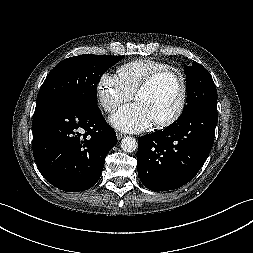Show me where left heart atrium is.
Returning <instances> with one entry per match:
<instances>
[{
	"instance_id": "left-heart-atrium-1",
	"label": "left heart atrium",
	"mask_w": 253,
	"mask_h": 253,
	"mask_svg": "<svg viewBox=\"0 0 253 253\" xmlns=\"http://www.w3.org/2000/svg\"><path fill=\"white\" fill-rule=\"evenodd\" d=\"M110 122L116 128L126 132H139L154 123L147 107L137 102L119 109L110 118Z\"/></svg>"
}]
</instances>
